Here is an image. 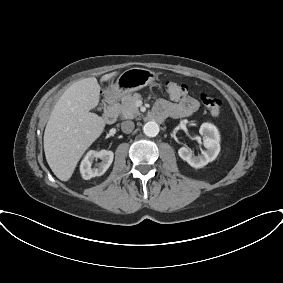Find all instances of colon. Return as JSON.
Returning <instances> with one entry per match:
<instances>
[{"instance_id": "obj_1", "label": "colon", "mask_w": 283, "mask_h": 283, "mask_svg": "<svg viewBox=\"0 0 283 283\" xmlns=\"http://www.w3.org/2000/svg\"><path fill=\"white\" fill-rule=\"evenodd\" d=\"M166 91L171 98L177 99L186 94L187 87L182 83H178L176 81H169L166 83ZM201 101L208 112L213 115L219 114L222 102L217 96L213 94L204 93L201 95Z\"/></svg>"}]
</instances>
